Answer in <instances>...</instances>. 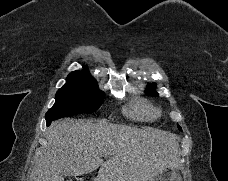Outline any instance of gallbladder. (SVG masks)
<instances>
[{
	"label": "gallbladder",
	"instance_id": "1",
	"mask_svg": "<svg viewBox=\"0 0 228 181\" xmlns=\"http://www.w3.org/2000/svg\"><path fill=\"white\" fill-rule=\"evenodd\" d=\"M65 177H69V173H64Z\"/></svg>",
	"mask_w": 228,
	"mask_h": 181
}]
</instances>
